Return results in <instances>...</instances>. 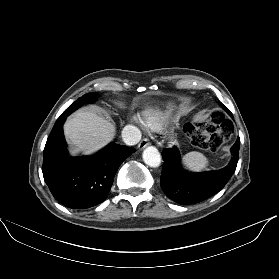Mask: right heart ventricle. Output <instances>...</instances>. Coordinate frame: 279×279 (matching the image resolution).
I'll return each mask as SVG.
<instances>
[{
  "label": "right heart ventricle",
  "mask_w": 279,
  "mask_h": 279,
  "mask_svg": "<svg viewBox=\"0 0 279 279\" xmlns=\"http://www.w3.org/2000/svg\"><path fill=\"white\" fill-rule=\"evenodd\" d=\"M171 114V110L154 109L144 113L143 120L147 128L159 131L163 129Z\"/></svg>",
  "instance_id": "obj_1"
}]
</instances>
